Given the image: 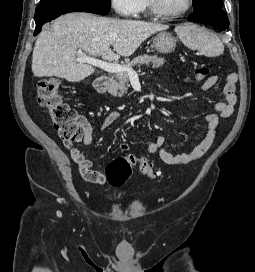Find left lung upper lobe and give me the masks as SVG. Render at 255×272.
I'll return each mask as SVG.
<instances>
[{
    "instance_id": "1",
    "label": "left lung upper lobe",
    "mask_w": 255,
    "mask_h": 272,
    "mask_svg": "<svg viewBox=\"0 0 255 272\" xmlns=\"http://www.w3.org/2000/svg\"><path fill=\"white\" fill-rule=\"evenodd\" d=\"M192 2L195 4V10L208 5H217L222 7V0H192Z\"/></svg>"
}]
</instances>
